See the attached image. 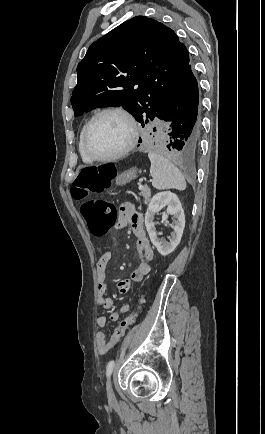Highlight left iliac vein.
Returning <instances> with one entry per match:
<instances>
[{"instance_id":"left-iliac-vein-1","label":"left iliac vein","mask_w":265,"mask_h":434,"mask_svg":"<svg viewBox=\"0 0 265 434\" xmlns=\"http://www.w3.org/2000/svg\"><path fill=\"white\" fill-rule=\"evenodd\" d=\"M106 392H107V397L110 403H115L116 402V397L112 388V382L109 379L106 383Z\"/></svg>"}]
</instances>
